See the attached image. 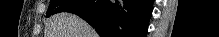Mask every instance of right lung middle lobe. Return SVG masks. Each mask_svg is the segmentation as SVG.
Returning <instances> with one entry per match:
<instances>
[{
    "label": "right lung middle lobe",
    "mask_w": 219,
    "mask_h": 37,
    "mask_svg": "<svg viewBox=\"0 0 219 37\" xmlns=\"http://www.w3.org/2000/svg\"><path fill=\"white\" fill-rule=\"evenodd\" d=\"M77 0H51L46 16L50 17L53 14L63 12L65 8Z\"/></svg>",
    "instance_id": "right-lung-middle-lobe-1"
}]
</instances>
